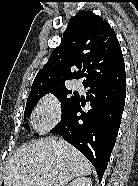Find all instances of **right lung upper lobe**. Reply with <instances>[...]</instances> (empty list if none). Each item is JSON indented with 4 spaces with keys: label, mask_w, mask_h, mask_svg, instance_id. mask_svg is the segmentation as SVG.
Instances as JSON below:
<instances>
[{
    "label": "right lung upper lobe",
    "mask_w": 138,
    "mask_h": 186,
    "mask_svg": "<svg viewBox=\"0 0 138 186\" xmlns=\"http://www.w3.org/2000/svg\"><path fill=\"white\" fill-rule=\"evenodd\" d=\"M125 76L123 55L114 30L93 12L80 11L69 20L60 45L37 73L30 93L63 87L67 80L80 77H86L83 84H88Z\"/></svg>",
    "instance_id": "1"
}]
</instances>
